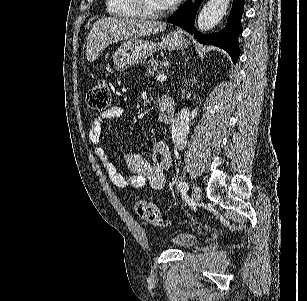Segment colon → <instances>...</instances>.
I'll return each instance as SVG.
<instances>
[{"label":"colon","mask_w":307,"mask_h":301,"mask_svg":"<svg viewBox=\"0 0 307 301\" xmlns=\"http://www.w3.org/2000/svg\"><path fill=\"white\" fill-rule=\"evenodd\" d=\"M86 101L89 107L96 111H105L111 102V93L108 84L99 80L88 90ZM136 213L141 219L154 226H166L167 219L164 217L158 207L148 201L138 200L134 205Z\"/></svg>","instance_id":"1"}]
</instances>
